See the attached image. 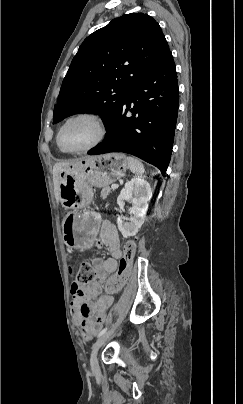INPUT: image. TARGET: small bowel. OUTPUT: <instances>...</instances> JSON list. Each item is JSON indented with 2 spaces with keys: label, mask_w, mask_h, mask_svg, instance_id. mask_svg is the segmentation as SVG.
<instances>
[{
  "label": "small bowel",
  "mask_w": 243,
  "mask_h": 404,
  "mask_svg": "<svg viewBox=\"0 0 243 404\" xmlns=\"http://www.w3.org/2000/svg\"><path fill=\"white\" fill-rule=\"evenodd\" d=\"M99 243L106 246L110 253V257L106 260L94 261L99 279L103 280L118 268V259L122 256L120 237L114 224L103 223ZM100 293V282L85 286L74 281L71 285L72 316L75 323L81 326L82 336L86 340L91 339L100 331L113 302L112 295H101Z\"/></svg>",
  "instance_id": "small-bowel-1"
}]
</instances>
